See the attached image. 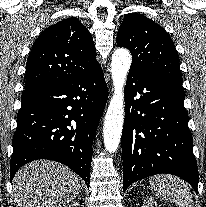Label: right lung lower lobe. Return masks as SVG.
I'll return each mask as SVG.
<instances>
[{
  "instance_id": "right-lung-lower-lobe-1",
  "label": "right lung lower lobe",
  "mask_w": 206,
  "mask_h": 207,
  "mask_svg": "<svg viewBox=\"0 0 206 207\" xmlns=\"http://www.w3.org/2000/svg\"><path fill=\"white\" fill-rule=\"evenodd\" d=\"M107 98L101 67L68 82L25 90L12 141L10 181L26 163L48 159L71 168L89 188L92 142Z\"/></svg>"
}]
</instances>
